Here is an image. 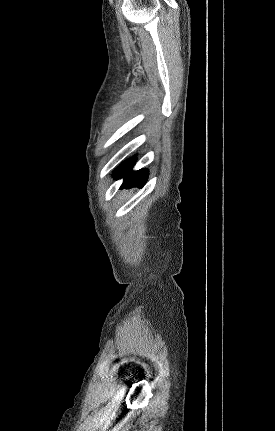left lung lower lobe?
<instances>
[{
    "label": "left lung lower lobe",
    "mask_w": 275,
    "mask_h": 431,
    "mask_svg": "<svg viewBox=\"0 0 275 431\" xmlns=\"http://www.w3.org/2000/svg\"><path fill=\"white\" fill-rule=\"evenodd\" d=\"M135 161V158L128 159L115 169L114 178H124L120 188L142 187L146 183L148 171L146 169L132 171Z\"/></svg>",
    "instance_id": "left-lung-lower-lobe-1"
}]
</instances>
